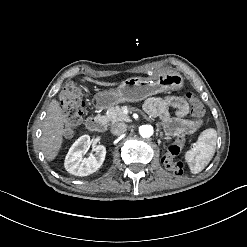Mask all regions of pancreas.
<instances>
[{"label":"pancreas","instance_id":"pancreas-1","mask_svg":"<svg viewBox=\"0 0 247 247\" xmlns=\"http://www.w3.org/2000/svg\"><path fill=\"white\" fill-rule=\"evenodd\" d=\"M106 118L108 121L113 123L129 120L128 114L123 113L120 106L110 107L107 110Z\"/></svg>","mask_w":247,"mask_h":247}]
</instances>
